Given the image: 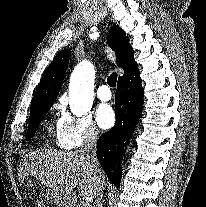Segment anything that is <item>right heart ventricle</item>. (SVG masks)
Returning a JSON list of instances; mask_svg holds the SVG:
<instances>
[{
	"label": "right heart ventricle",
	"mask_w": 206,
	"mask_h": 207,
	"mask_svg": "<svg viewBox=\"0 0 206 207\" xmlns=\"http://www.w3.org/2000/svg\"><path fill=\"white\" fill-rule=\"evenodd\" d=\"M49 130H50V131H52V130H53L52 126H49Z\"/></svg>",
	"instance_id": "e07e8e85"
}]
</instances>
